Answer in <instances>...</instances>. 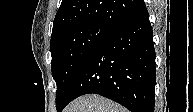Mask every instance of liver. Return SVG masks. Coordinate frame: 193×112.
Wrapping results in <instances>:
<instances>
[{
  "label": "liver",
  "instance_id": "obj_1",
  "mask_svg": "<svg viewBox=\"0 0 193 112\" xmlns=\"http://www.w3.org/2000/svg\"><path fill=\"white\" fill-rule=\"evenodd\" d=\"M64 112H128L112 101L96 95H84L72 101Z\"/></svg>",
  "mask_w": 193,
  "mask_h": 112
}]
</instances>
